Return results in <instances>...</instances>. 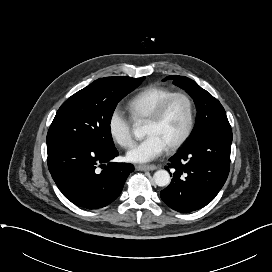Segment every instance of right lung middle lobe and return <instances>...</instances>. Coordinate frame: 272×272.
<instances>
[{
    "label": "right lung middle lobe",
    "mask_w": 272,
    "mask_h": 272,
    "mask_svg": "<svg viewBox=\"0 0 272 272\" xmlns=\"http://www.w3.org/2000/svg\"><path fill=\"white\" fill-rule=\"evenodd\" d=\"M145 77H105L68 98L59 108L47 134V152L71 144L115 148L110 121L117 103Z\"/></svg>",
    "instance_id": "right-lung-middle-lobe-1"
}]
</instances>
